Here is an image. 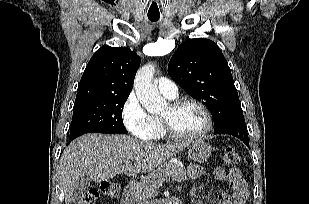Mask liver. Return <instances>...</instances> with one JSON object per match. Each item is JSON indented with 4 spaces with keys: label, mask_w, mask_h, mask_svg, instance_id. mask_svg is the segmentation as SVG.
I'll return each mask as SVG.
<instances>
[{
    "label": "liver",
    "mask_w": 309,
    "mask_h": 204,
    "mask_svg": "<svg viewBox=\"0 0 309 204\" xmlns=\"http://www.w3.org/2000/svg\"><path fill=\"white\" fill-rule=\"evenodd\" d=\"M189 142L158 145L126 135L90 133L73 141L59 162L60 187L68 204L79 178L106 181L117 174L150 172ZM134 161V164L131 162Z\"/></svg>",
    "instance_id": "6515ba94"
}]
</instances>
